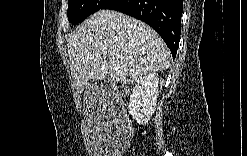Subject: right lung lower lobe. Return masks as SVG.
<instances>
[{"mask_svg":"<svg viewBox=\"0 0 247 156\" xmlns=\"http://www.w3.org/2000/svg\"><path fill=\"white\" fill-rule=\"evenodd\" d=\"M102 9L120 11L149 24L175 58L181 34L182 0H108Z\"/></svg>","mask_w":247,"mask_h":156,"instance_id":"right-lung-lower-lobe-1","label":"right lung lower lobe"}]
</instances>
